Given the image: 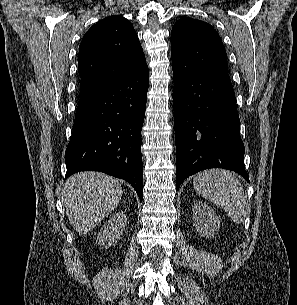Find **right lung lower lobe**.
Listing matches in <instances>:
<instances>
[{
    "label": "right lung lower lobe",
    "instance_id": "98d812e1",
    "mask_svg": "<svg viewBox=\"0 0 297 305\" xmlns=\"http://www.w3.org/2000/svg\"><path fill=\"white\" fill-rule=\"evenodd\" d=\"M148 67L80 98L65 152L66 178L94 170L128 181L143 198L141 129Z\"/></svg>",
    "mask_w": 297,
    "mask_h": 305
}]
</instances>
